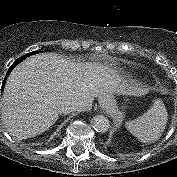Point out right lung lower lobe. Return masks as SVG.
Segmentation results:
<instances>
[{"instance_id":"98d812e1","label":"right lung lower lobe","mask_w":177,"mask_h":177,"mask_svg":"<svg viewBox=\"0 0 177 177\" xmlns=\"http://www.w3.org/2000/svg\"><path fill=\"white\" fill-rule=\"evenodd\" d=\"M34 54H37V51H34V52H31V53H28L20 58H18L11 66L10 68L8 69V72H7V75L3 81V84L2 86H4V83H5V80L7 79L8 75L10 74V72L12 71V69L17 65L19 64L20 62H22L24 59H26L28 56H31V55H34Z\"/></svg>"}]
</instances>
